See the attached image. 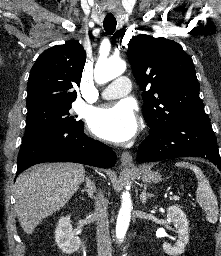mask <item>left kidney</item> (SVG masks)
Listing matches in <instances>:
<instances>
[{"label": "left kidney", "instance_id": "left-kidney-1", "mask_svg": "<svg viewBox=\"0 0 221 256\" xmlns=\"http://www.w3.org/2000/svg\"><path fill=\"white\" fill-rule=\"evenodd\" d=\"M167 218L174 224L178 233V239L175 247L165 242L163 250L170 256H179L184 252L185 246L189 241L188 221L185 213L176 205L167 208Z\"/></svg>", "mask_w": 221, "mask_h": 256}]
</instances>
